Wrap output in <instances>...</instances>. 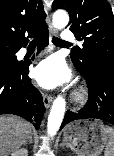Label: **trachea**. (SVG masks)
<instances>
[{"label":"trachea","mask_w":114,"mask_h":156,"mask_svg":"<svg viewBox=\"0 0 114 156\" xmlns=\"http://www.w3.org/2000/svg\"><path fill=\"white\" fill-rule=\"evenodd\" d=\"M52 42L54 44H67V42H65V41H63V40H61V39H59L57 37H53L52 38ZM31 44H35V42L34 41H31Z\"/></svg>","instance_id":"obj_1"}]
</instances>
